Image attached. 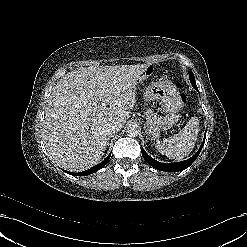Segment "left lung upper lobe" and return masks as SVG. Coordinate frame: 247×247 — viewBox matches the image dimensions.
Here are the masks:
<instances>
[{
	"mask_svg": "<svg viewBox=\"0 0 247 247\" xmlns=\"http://www.w3.org/2000/svg\"><path fill=\"white\" fill-rule=\"evenodd\" d=\"M189 79H190V81H195L194 75L190 71H189Z\"/></svg>",
	"mask_w": 247,
	"mask_h": 247,
	"instance_id": "obj_1",
	"label": "left lung upper lobe"
}]
</instances>
